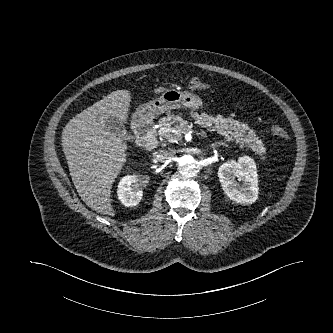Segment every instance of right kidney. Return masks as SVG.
Here are the masks:
<instances>
[{
    "mask_svg": "<svg viewBox=\"0 0 333 333\" xmlns=\"http://www.w3.org/2000/svg\"><path fill=\"white\" fill-rule=\"evenodd\" d=\"M117 195L124 206L133 207L137 205L143 196L138 176H125L118 185Z\"/></svg>",
    "mask_w": 333,
    "mask_h": 333,
    "instance_id": "ca27d5eb",
    "label": "right kidney"
}]
</instances>
